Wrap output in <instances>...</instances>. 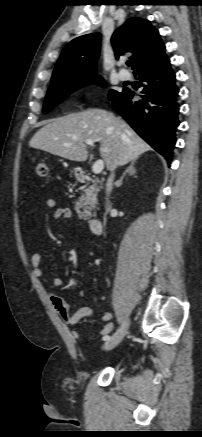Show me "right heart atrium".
Here are the masks:
<instances>
[{"label": "right heart atrium", "mask_w": 202, "mask_h": 437, "mask_svg": "<svg viewBox=\"0 0 202 437\" xmlns=\"http://www.w3.org/2000/svg\"><path fill=\"white\" fill-rule=\"evenodd\" d=\"M86 97L88 98V97H89V94H86Z\"/></svg>", "instance_id": "right-heart-atrium-1"}]
</instances>
